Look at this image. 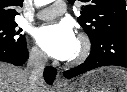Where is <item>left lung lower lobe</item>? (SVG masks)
Instances as JSON below:
<instances>
[{
    "label": "left lung lower lobe",
    "instance_id": "obj_1",
    "mask_svg": "<svg viewBox=\"0 0 127 92\" xmlns=\"http://www.w3.org/2000/svg\"><path fill=\"white\" fill-rule=\"evenodd\" d=\"M118 65L127 68V35L103 34L91 44V52L81 65L64 72L66 78H73L92 69Z\"/></svg>",
    "mask_w": 127,
    "mask_h": 92
}]
</instances>
